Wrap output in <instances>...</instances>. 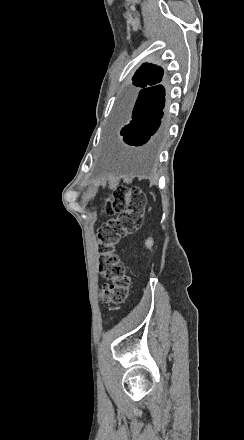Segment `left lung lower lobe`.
<instances>
[{
  "label": "left lung lower lobe",
  "mask_w": 244,
  "mask_h": 440,
  "mask_svg": "<svg viewBox=\"0 0 244 440\" xmlns=\"http://www.w3.org/2000/svg\"><path fill=\"white\" fill-rule=\"evenodd\" d=\"M157 83L141 87L143 89L139 91L137 98L134 94L123 103L120 122L125 125L120 130V141L141 146L158 130L163 116L165 90L162 85H156Z\"/></svg>",
  "instance_id": "obj_1"
}]
</instances>
